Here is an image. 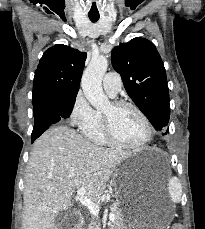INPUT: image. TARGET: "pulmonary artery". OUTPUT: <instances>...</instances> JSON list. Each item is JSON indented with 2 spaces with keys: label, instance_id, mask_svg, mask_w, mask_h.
Returning <instances> with one entry per match:
<instances>
[{
  "label": "pulmonary artery",
  "instance_id": "e3ab8cb5",
  "mask_svg": "<svg viewBox=\"0 0 205 229\" xmlns=\"http://www.w3.org/2000/svg\"><path fill=\"white\" fill-rule=\"evenodd\" d=\"M103 88L109 96L115 97L121 89V78L119 74L115 72L105 74Z\"/></svg>",
  "mask_w": 205,
  "mask_h": 229
}]
</instances>
